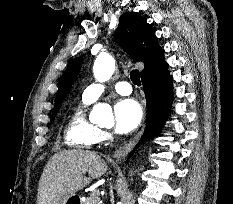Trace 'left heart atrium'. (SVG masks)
<instances>
[{"label": "left heart atrium", "instance_id": "39dd6f15", "mask_svg": "<svg viewBox=\"0 0 233 204\" xmlns=\"http://www.w3.org/2000/svg\"><path fill=\"white\" fill-rule=\"evenodd\" d=\"M115 130L125 134L133 131L140 124L143 111L134 99H123L114 106Z\"/></svg>", "mask_w": 233, "mask_h": 204}]
</instances>
